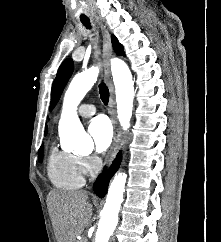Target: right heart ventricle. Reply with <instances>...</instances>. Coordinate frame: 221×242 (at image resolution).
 Listing matches in <instances>:
<instances>
[{"label": "right heart ventricle", "instance_id": "1", "mask_svg": "<svg viewBox=\"0 0 221 242\" xmlns=\"http://www.w3.org/2000/svg\"><path fill=\"white\" fill-rule=\"evenodd\" d=\"M78 160L77 155L59 150L52 145L47 160V175L51 184L62 190L81 187L84 178Z\"/></svg>", "mask_w": 221, "mask_h": 242}]
</instances>
